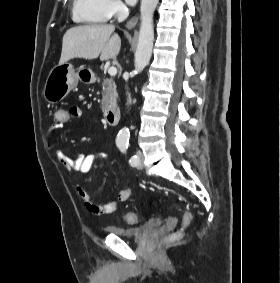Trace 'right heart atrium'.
<instances>
[{"label":"right heart atrium","instance_id":"obj_1","mask_svg":"<svg viewBox=\"0 0 280 283\" xmlns=\"http://www.w3.org/2000/svg\"><path fill=\"white\" fill-rule=\"evenodd\" d=\"M104 8L109 18L119 17L125 11V6L120 0H104Z\"/></svg>","mask_w":280,"mask_h":283}]
</instances>
